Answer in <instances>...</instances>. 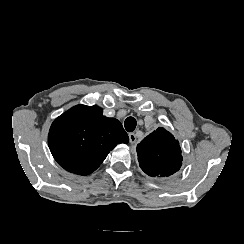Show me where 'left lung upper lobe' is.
<instances>
[{"label":"left lung upper lobe","instance_id":"5c2ea615","mask_svg":"<svg viewBox=\"0 0 244 244\" xmlns=\"http://www.w3.org/2000/svg\"><path fill=\"white\" fill-rule=\"evenodd\" d=\"M141 169L151 177H165L177 172L182 165L178 140L159 127L136 147Z\"/></svg>","mask_w":244,"mask_h":244}]
</instances>
